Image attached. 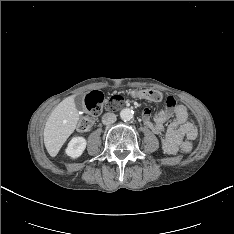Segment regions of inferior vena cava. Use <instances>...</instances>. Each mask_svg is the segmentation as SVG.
I'll return each mask as SVG.
<instances>
[{
  "label": "inferior vena cava",
  "mask_w": 234,
  "mask_h": 234,
  "mask_svg": "<svg viewBox=\"0 0 234 234\" xmlns=\"http://www.w3.org/2000/svg\"><path fill=\"white\" fill-rule=\"evenodd\" d=\"M117 120V117L114 113H106L102 117V123L105 125H109L114 123Z\"/></svg>",
  "instance_id": "1"
}]
</instances>
